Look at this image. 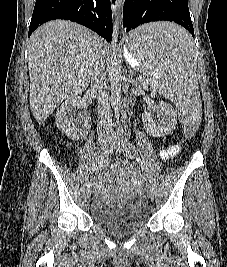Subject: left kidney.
I'll use <instances>...</instances> for the list:
<instances>
[{
  "mask_svg": "<svg viewBox=\"0 0 227 267\" xmlns=\"http://www.w3.org/2000/svg\"><path fill=\"white\" fill-rule=\"evenodd\" d=\"M142 119L147 132L154 137L170 134L177 124L176 111L163 101L158 106V121H155L150 113H145Z\"/></svg>",
  "mask_w": 227,
  "mask_h": 267,
  "instance_id": "left-kidney-1",
  "label": "left kidney"
}]
</instances>
